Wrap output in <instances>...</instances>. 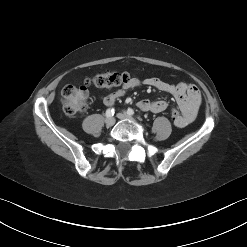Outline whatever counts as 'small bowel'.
<instances>
[{
    "mask_svg": "<svg viewBox=\"0 0 247 247\" xmlns=\"http://www.w3.org/2000/svg\"><path fill=\"white\" fill-rule=\"evenodd\" d=\"M143 84L159 91L171 94L181 110V115L174 123L179 128H184L194 121L197 116L198 108L201 104L202 97L199 89L192 84L168 83L157 77H149L143 80ZM140 85V81L132 79L129 83L124 85L112 93L104 95L102 101L106 106H111L115 101L122 97L128 90ZM137 106L142 111H151L153 113H160L167 109L168 103L164 100L151 101L149 99H142L137 103Z\"/></svg>",
    "mask_w": 247,
    "mask_h": 247,
    "instance_id": "1",
    "label": "small bowel"
}]
</instances>
